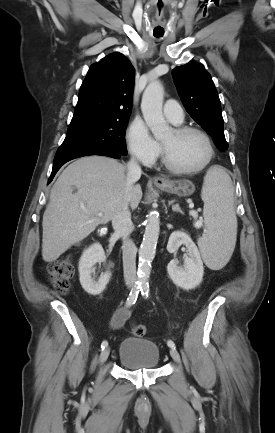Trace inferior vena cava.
<instances>
[{
    "label": "inferior vena cava",
    "instance_id": "1",
    "mask_svg": "<svg viewBox=\"0 0 275 433\" xmlns=\"http://www.w3.org/2000/svg\"><path fill=\"white\" fill-rule=\"evenodd\" d=\"M127 168V192L141 177V167L134 157L126 165ZM129 197L126 196L123 204L112 217V226L115 234L123 240V271L124 279L128 287H133L136 281V253L137 248L129 235L133 231L131 213L128 208Z\"/></svg>",
    "mask_w": 275,
    "mask_h": 433
}]
</instances>
